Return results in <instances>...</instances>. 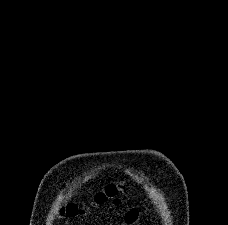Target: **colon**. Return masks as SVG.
<instances>
[{
	"instance_id": "5ec220e1",
	"label": "colon",
	"mask_w": 228,
	"mask_h": 225,
	"mask_svg": "<svg viewBox=\"0 0 228 225\" xmlns=\"http://www.w3.org/2000/svg\"><path fill=\"white\" fill-rule=\"evenodd\" d=\"M123 186L121 185H110L102 190H100L93 198V201L97 204L105 202L107 199L110 198H118V201H122L124 198L120 197L122 195ZM84 212V209L80 206L76 205H68L66 207H63L61 209V214L66 215L68 217H74L79 214H82Z\"/></svg>"
}]
</instances>
